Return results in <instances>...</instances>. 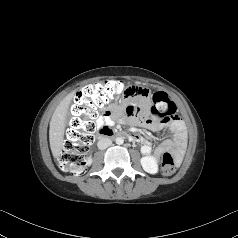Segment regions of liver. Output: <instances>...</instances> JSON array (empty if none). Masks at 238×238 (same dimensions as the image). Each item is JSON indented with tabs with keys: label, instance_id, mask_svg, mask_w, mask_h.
Segmentation results:
<instances>
[{
	"label": "liver",
	"instance_id": "liver-1",
	"mask_svg": "<svg viewBox=\"0 0 238 238\" xmlns=\"http://www.w3.org/2000/svg\"><path fill=\"white\" fill-rule=\"evenodd\" d=\"M75 92L69 93L56 107L49 128V141L52 154L59 158L62 153L66 117Z\"/></svg>",
	"mask_w": 238,
	"mask_h": 238
}]
</instances>
